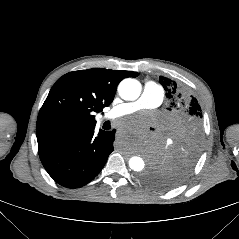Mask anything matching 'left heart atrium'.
I'll return each mask as SVG.
<instances>
[{
  "label": "left heart atrium",
  "instance_id": "left-heart-atrium-1",
  "mask_svg": "<svg viewBox=\"0 0 239 239\" xmlns=\"http://www.w3.org/2000/svg\"><path fill=\"white\" fill-rule=\"evenodd\" d=\"M138 124H139V120H137V119L123 122L124 126H131V125H138Z\"/></svg>",
  "mask_w": 239,
  "mask_h": 239
}]
</instances>
